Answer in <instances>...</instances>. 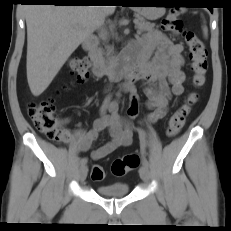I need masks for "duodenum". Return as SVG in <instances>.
Returning <instances> with one entry per match:
<instances>
[{
	"label": "duodenum",
	"mask_w": 231,
	"mask_h": 231,
	"mask_svg": "<svg viewBox=\"0 0 231 231\" xmlns=\"http://www.w3.org/2000/svg\"><path fill=\"white\" fill-rule=\"evenodd\" d=\"M84 48L89 53L92 72L96 76L111 75L114 80L120 81L133 74L139 63L140 54L138 50H135L127 52L123 59L106 65L97 51V40L92 37L85 41Z\"/></svg>",
	"instance_id": "1"
}]
</instances>
